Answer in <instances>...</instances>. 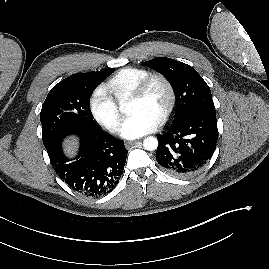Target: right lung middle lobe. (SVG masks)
<instances>
[{
	"instance_id": "obj_1",
	"label": "right lung middle lobe",
	"mask_w": 269,
	"mask_h": 269,
	"mask_svg": "<svg viewBox=\"0 0 269 269\" xmlns=\"http://www.w3.org/2000/svg\"><path fill=\"white\" fill-rule=\"evenodd\" d=\"M113 72L114 69H107L74 74L50 90L40 113L45 147L64 134L99 129L90 114L89 98L96 86Z\"/></svg>"
}]
</instances>
